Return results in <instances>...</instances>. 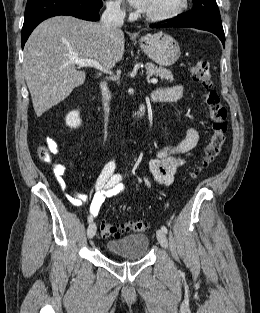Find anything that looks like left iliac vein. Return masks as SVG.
I'll use <instances>...</instances> for the list:
<instances>
[{"label":"left iliac vein","mask_w":260,"mask_h":313,"mask_svg":"<svg viewBox=\"0 0 260 313\" xmlns=\"http://www.w3.org/2000/svg\"><path fill=\"white\" fill-rule=\"evenodd\" d=\"M156 235H157V239H158L160 245L164 248H167L168 247V241H167V237L165 235V232L162 230H157Z\"/></svg>","instance_id":"left-iliac-vein-1"}]
</instances>
